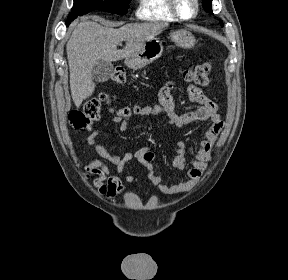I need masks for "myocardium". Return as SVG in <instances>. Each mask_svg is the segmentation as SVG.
I'll use <instances>...</instances> for the list:
<instances>
[{"mask_svg": "<svg viewBox=\"0 0 288 280\" xmlns=\"http://www.w3.org/2000/svg\"><path fill=\"white\" fill-rule=\"evenodd\" d=\"M193 3H194L193 14L189 17H184L180 14L178 10L177 0H168L171 13L174 15V17L177 20H180V21H191L197 17L199 10H200V2L199 0H193Z\"/></svg>", "mask_w": 288, "mask_h": 280, "instance_id": "obj_1", "label": "myocardium"}]
</instances>
